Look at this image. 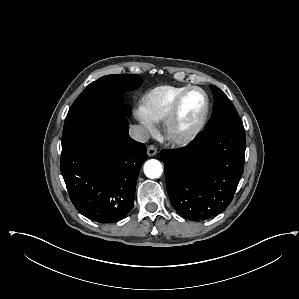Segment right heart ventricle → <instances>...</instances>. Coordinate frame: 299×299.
<instances>
[{
  "mask_svg": "<svg viewBox=\"0 0 299 299\" xmlns=\"http://www.w3.org/2000/svg\"><path fill=\"white\" fill-rule=\"evenodd\" d=\"M187 87L158 86L148 91L141 99L140 113L150 123L163 121L176 97Z\"/></svg>",
  "mask_w": 299,
  "mask_h": 299,
  "instance_id": "right-heart-ventricle-1",
  "label": "right heart ventricle"
}]
</instances>
